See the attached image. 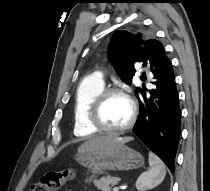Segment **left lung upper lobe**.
Segmentation results:
<instances>
[{"instance_id": "obj_1", "label": "left lung upper lobe", "mask_w": 210, "mask_h": 191, "mask_svg": "<svg viewBox=\"0 0 210 191\" xmlns=\"http://www.w3.org/2000/svg\"><path fill=\"white\" fill-rule=\"evenodd\" d=\"M111 40L109 57L126 83H131L136 71L133 67L135 62H143L144 66L149 65L152 70L162 57H166L163 45L158 40H144L140 33L116 31ZM141 90L136 88L137 96Z\"/></svg>"}]
</instances>
